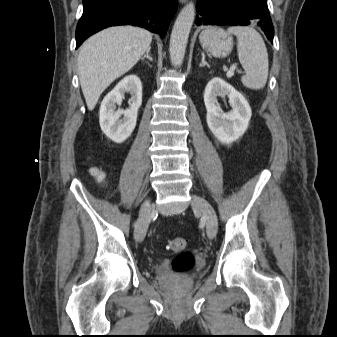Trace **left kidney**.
<instances>
[{
	"instance_id": "obj_1",
	"label": "left kidney",
	"mask_w": 337,
	"mask_h": 337,
	"mask_svg": "<svg viewBox=\"0 0 337 337\" xmlns=\"http://www.w3.org/2000/svg\"><path fill=\"white\" fill-rule=\"evenodd\" d=\"M217 96H228L232 106L230 112L224 113L216 104ZM204 103L208 127L221 143L231 144L245 133L252 115L251 108L245 97L230 84L214 77L205 88Z\"/></svg>"
}]
</instances>
